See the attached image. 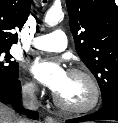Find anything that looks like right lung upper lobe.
I'll list each match as a JSON object with an SVG mask.
<instances>
[{"label":"right lung upper lobe","mask_w":118,"mask_h":123,"mask_svg":"<svg viewBox=\"0 0 118 123\" xmlns=\"http://www.w3.org/2000/svg\"><path fill=\"white\" fill-rule=\"evenodd\" d=\"M32 0H0V48L17 43L18 35L30 12Z\"/></svg>","instance_id":"cb5924a9"}]
</instances>
